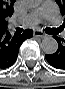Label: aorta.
<instances>
[{
	"instance_id": "1",
	"label": "aorta",
	"mask_w": 65,
	"mask_h": 89,
	"mask_svg": "<svg viewBox=\"0 0 65 89\" xmlns=\"http://www.w3.org/2000/svg\"><path fill=\"white\" fill-rule=\"evenodd\" d=\"M37 4H38V2L36 0L29 2V5L33 6V7L36 6ZM40 47L44 53L54 54V53H56V51L58 49V43L53 37H45L42 40Z\"/></svg>"
}]
</instances>
